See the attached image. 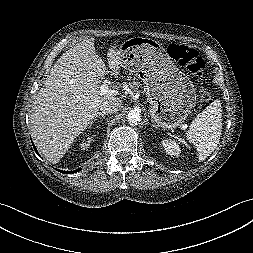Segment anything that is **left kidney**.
I'll return each mask as SVG.
<instances>
[{
    "label": "left kidney",
    "instance_id": "left-kidney-1",
    "mask_svg": "<svg viewBox=\"0 0 253 253\" xmlns=\"http://www.w3.org/2000/svg\"><path fill=\"white\" fill-rule=\"evenodd\" d=\"M162 145L169 155L178 156L181 152L179 145L173 140H163Z\"/></svg>",
    "mask_w": 253,
    "mask_h": 253
}]
</instances>
